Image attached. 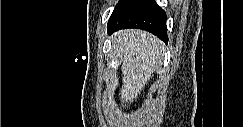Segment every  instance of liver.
<instances>
[{"label": "liver", "instance_id": "obj_1", "mask_svg": "<svg viewBox=\"0 0 243 127\" xmlns=\"http://www.w3.org/2000/svg\"><path fill=\"white\" fill-rule=\"evenodd\" d=\"M113 47L122 62L120 100L131 104L159 68L163 44L148 32L129 29L114 34Z\"/></svg>", "mask_w": 243, "mask_h": 127}]
</instances>
